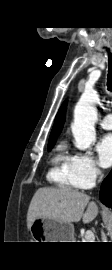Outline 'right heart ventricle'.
Listing matches in <instances>:
<instances>
[{"label": "right heart ventricle", "instance_id": "obj_1", "mask_svg": "<svg viewBox=\"0 0 112 270\" xmlns=\"http://www.w3.org/2000/svg\"><path fill=\"white\" fill-rule=\"evenodd\" d=\"M47 178L50 182L65 189H77L73 173L72 157L64 150H58L51 159Z\"/></svg>", "mask_w": 112, "mask_h": 270}]
</instances>
